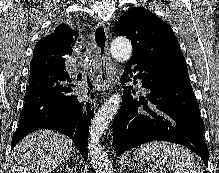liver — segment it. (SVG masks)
Instances as JSON below:
<instances>
[{
    "label": "liver",
    "mask_w": 219,
    "mask_h": 173,
    "mask_svg": "<svg viewBox=\"0 0 219 173\" xmlns=\"http://www.w3.org/2000/svg\"><path fill=\"white\" fill-rule=\"evenodd\" d=\"M73 141L52 131L40 130L26 136L11 153L9 173H50L75 151Z\"/></svg>",
    "instance_id": "liver-1"
}]
</instances>
